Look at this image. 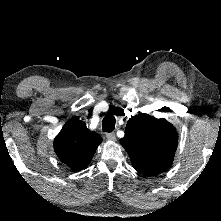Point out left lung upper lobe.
I'll use <instances>...</instances> for the list:
<instances>
[{"label":"left lung upper lobe","mask_w":221,"mask_h":221,"mask_svg":"<svg viewBox=\"0 0 221 221\" xmlns=\"http://www.w3.org/2000/svg\"><path fill=\"white\" fill-rule=\"evenodd\" d=\"M120 142L133 168L146 176H154L171 166L178 134L167 120L140 113L128 120Z\"/></svg>","instance_id":"left-lung-upper-lobe-1"}]
</instances>
